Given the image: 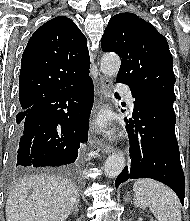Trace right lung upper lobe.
Wrapping results in <instances>:
<instances>
[{"mask_svg":"<svg viewBox=\"0 0 190 221\" xmlns=\"http://www.w3.org/2000/svg\"><path fill=\"white\" fill-rule=\"evenodd\" d=\"M87 39L65 16L39 27L22 55L19 77L20 108L29 109L41 98L89 77Z\"/></svg>","mask_w":190,"mask_h":221,"instance_id":"obj_1","label":"right lung upper lobe"}]
</instances>
